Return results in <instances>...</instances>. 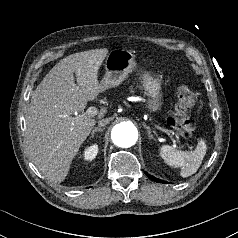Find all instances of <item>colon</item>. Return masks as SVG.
<instances>
[{
    "label": "colon",
    "mask_w": 238,
    "mask_h": 238,
    "mask_svg": "<svg viewBox=\"0 0 238 238\" xmlns=\"http://www.w3.org/2000/svg\"><path fill=\"white\" fill-rule=\"evenodd\" d=\"M195 103V93L187 86H180L177 91V102L168 123L185 138L191 137L194 132L190 111Z\"/></svg>",
    "instance_id": "obj_1"
}]
</instances>
